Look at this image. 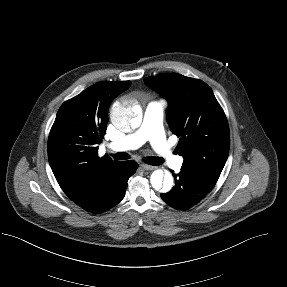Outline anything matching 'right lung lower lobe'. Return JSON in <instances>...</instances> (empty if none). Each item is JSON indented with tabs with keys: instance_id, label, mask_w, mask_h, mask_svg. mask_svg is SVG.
I'll return each instance as SVG.
<instances>
[{
	"instance_id": "1",
	"label": "right lung lower lobe",
	"mask_w": 287,
	"mask_h": 287,
	"mask_svg": "<svg viewBox=\"0 0 287 287\" xmlns=\"http://www.w3.org/2000/svg\"><path fill=\"white\" fill-rule=\"evenodd\" d=\"M136 169L137 163L135 161L119 162L91 188L83 200L76 204L92 213H102L109 210L123 199L127 181Z\"/></svg>"
}]
</instances>
